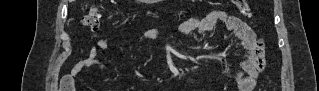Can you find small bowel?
I'll use <instances>...</instances> for the list:
<instances>
[{"instance_id": "1", "label": "small bowel", "mask_w": 319, "mask_h": 91, "mask_svg": "<svg viewBox=\"0 0 319 91\" xmlns=\"http://www.w3.org/2000/svg\"><path fill=\"white\" fill-rule=\"evenodd\" d=\"M218 23H222L225 29L236 34L241 41L244 51L243 60L239 64V70L235 76V82L239 91H253L258 77L263 72L266 64L265 45L256 32L243 20L231 16L224 11H213L203 18H189L182 22L178 28V34L185 36L190 32L206 34L214 30ZM151 38L147 36L144 40ZM110 47V40L103 38L97 41L91 48L88 56L82 59L72 70L71 76L84 71L91 66L102 67L104 64L98 59L99 50Z\"/></svg>"}]
</instances>
